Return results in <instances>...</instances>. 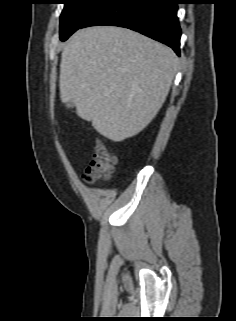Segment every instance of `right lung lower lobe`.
I'll use <instances>...</instances> for the list:
<instances>
[{"label": "right lung lower lobe", "instance_id": "obj_1", "mask_svg": "<svg viewBox=\"0 0 236 321\" xmlns=\"http://www.w3.org/2000/svg\"><path fill=\"white\" fill-rule=\"evenodd\" d=\"M176 0H108L79 28L126 27L170 46L180 55L181 29Z\"/></svg>", "mask_w": 236, "mask_h": 321}]
</instances>
